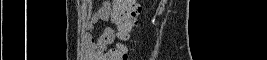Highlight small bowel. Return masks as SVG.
Wrapping results in <instances>:
<instances>
[{
    "mask_svg": "<svg viewBox=\"0 0 267 60\" xmlns=\"http://www.w3.org/2000/svg\"><path fill=\"white\" fill-rule=\"evenodd\" d=\"M112 6L109 3H104L95 13V16L88 22L87 30L84 39L87 47L96 55L102 56L105 52L107 45L114 40V31L111 27L107 26L101 36L95 41L92 36V29L97 20H103L111 13Z\"/></svg>",
    "mask_w": 267,
    "mask_h": 60,
    "instance_id": "obj_1",
    "label": "small bowel"
}]
</instances>
